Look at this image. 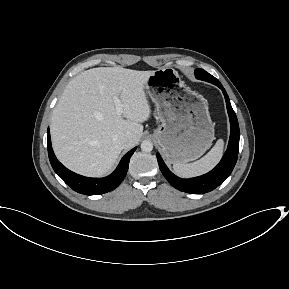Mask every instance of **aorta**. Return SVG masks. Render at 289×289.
Masks as SVG:
<instances>
[{
	"instance_id": "aorta-1",
	"label": "aorta",
	"mask_w": 289,
	"mask_h": 289,
	"mask_svg": "<svg viewBox=\"0 0 289 289\" xmlns=\"http://www.w3.org/2000/svg\"><path fill=\"white\" fill-rule=\"evenodd\" d=\"M141 150L144 152H150L153 150V143L149 140H144L141 143Z\"/></svg>"
}]
</instances>
